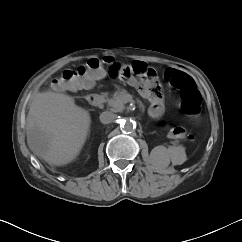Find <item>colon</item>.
<instances>
[{
    "label": "colon",
    "mask_w": 242,
    "mask_h": 242,
    "mask_svg": "<svg viewBox=\"0 0 242 242\" xmlns=\"http://www.w3.org/2000/svg\"><path fill=\"white\" fill-rule=\"evenodd\" d=\"M107 72L111 78L134 77L140 80L141 86L150 94L161 93V86L156 73L142 62H133L125 65L121 71V65L116 63L111 57L103 59H90L85 65L76 69H67L61 72L52 83V89L56 91H76L91 85L92 80L103 72ZM165 79L172 86L180 90L182 109L189 114H197L202 104V97L196 88L192 78L177 69H168ZM169 134L174 138L185 139L188 137L185 130L180 126H170Z\"/></svg>",
    "instance_id": "1"
}]
</instances>
